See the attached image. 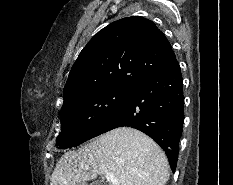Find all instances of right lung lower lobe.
<instances>
[{
	"label": "right lung lower lobe",
	"instance_id": "obj_1",
	"mask_svg": "<svg viewBox=\"0 0 233 185\" xmlns=\"http://www.w3.org/2000/svg\"><path fill=\"white\" fill-rule=\"evenodd\" d=\"M183 111V79L175 60L131 87L124 101L99 125L90 139L116 127L131 126L149 135L163 148L175 172Z\"/></svg>",
	"mask_w": 233,
	"mask_h": 185
}]
</instances>
